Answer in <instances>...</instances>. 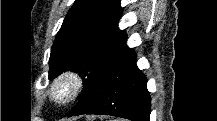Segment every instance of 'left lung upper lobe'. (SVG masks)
Returning <instances> with one entry per match:
<instances>
[{
    "instance_id": "5c2ea615",
    "label": "left lung upper lobe",
    "mask_w": 217,
    "mask_h": 121,
    "mask_svg": "<svg viewBox=\"0 0 217 121\" xmlns=\"http://www.w3.org/2000/svg\"><path fill=\"white\" fill-rule=\"evenodd\" d=\"M122 10L120 0H75L51 48L49 79L65 70L78 72L84 85L80 99L126 38L118 29Z\"/></svg>"
}]
</instances>
